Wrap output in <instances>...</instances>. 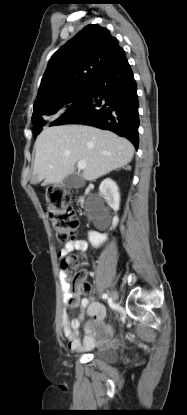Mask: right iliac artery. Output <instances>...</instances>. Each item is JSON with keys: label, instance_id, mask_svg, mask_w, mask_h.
Here are the masks:
<instances>
[{"label": "right iliac artery", "instance_id": "right-iliac-artery-1", "mask_svg": "<svg viewBox=\"0 0 187 415\" xmlns=\"http://www.w3.org/2000/svg\"><path fill=\"white\" fill-rule=\"evenodd\" d=\"M102 298H103V299H107V298H108V294L104 293V294L102 295Z\"/></svg>", "mask_w": 187, "mask_h": 415}]
</instances>
